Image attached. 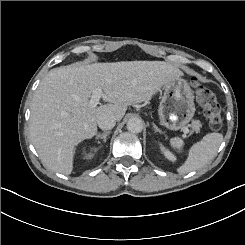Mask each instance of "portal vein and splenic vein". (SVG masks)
Wrapping results in <instances>:
<instances>
[{"mask_svg": "<svg viewBox=\"0 0 245 245\" xmlns=\"http://www.w3.org/2000/svg\"><path fill=\"white\" fill-rule=\"evenodd\" d=\"M104 96L105 95H104L102 89L99 88V89L95 90L93 92L92 96H91L90 101H89L90 107L95 108L99 104L100 98L104 97ZM183 132H184V134H188L189 133V129L187 127H185L183 129Z\"/></svg>", "mask_w": 245, "mask_h": 245, "instance_id": "18ae733b", "label": "portal vein and splenic vein"}]
</instances>
